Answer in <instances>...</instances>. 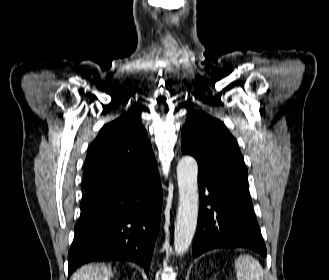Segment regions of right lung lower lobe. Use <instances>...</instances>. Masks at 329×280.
<instances>
[{"mask_svg": "<svg viewBox=\"0 0 329 280\" xmlns=\"http://www.w3.org/2000/svg\"><path fill=\"white\" fill-rule=\"evenodd\" d=\"M162 188L158 172L112 179L88 190L68 253V275L91 261L128 260L148 275L158 233Z\"/></svg>", "mask_w": 329, "mask_h": 280, "instance_id": "1", "label": "right lung lower lobe"}]
</instances>
